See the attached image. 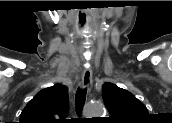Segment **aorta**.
I'll list each match as a JSON object with an SVG mask.
<instances>
[{
  "mask_svg": "<svg viewBox=\"0 0 172 123\" xmlns=\"http://www.w3.org/2000/svg\"><path fill=\"white\" fill-rule=\"evenodd\" d=\"M85 114L88 116V118L102 117L104 114V108L101 104L89 103L86 107Z\"/></svg>",
  "mask_w": 172,
  "mask_h": 123,
  "instance_id": "1",
  "label": "aorta"
}]
</instances>
